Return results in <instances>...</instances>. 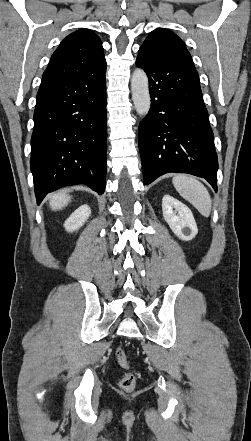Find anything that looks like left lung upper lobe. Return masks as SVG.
<instances>
[{
  "label": "left lung upper lobe",
  "instance_id": "1",
  "mask_svg": "<svg viewBox=\"0 0 251 441\" xmlns=\"http://www.w3.org/2000/svg\"><path fill=\"white\" fill-rule=\"evenodd\" d=\"M139 50L158 58L176 60L195 68L185 43L176 34L164 28L153 30Z\"/></svg>",
  "mask_w": 251,
  "mask_h": 441
}]
</instances>
